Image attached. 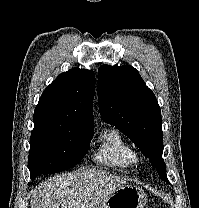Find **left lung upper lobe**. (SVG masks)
I'll return each instance as SVG.
<instances>
[{
	"instance_id": "left-lung-upper-lobe-1",
	"label": "left lung upper lobe",
	"mask_w": 199,
	"mask_h": 208,
	"mask_svg": "<svg viewBox=\"0 0 199 208\" xmlns=\"http://www.w3.org/2000/svg\"><path fill=\"white\" fill-rule=\"evenodd\" d=\"M99 110L105 122L128 136L169 183L162 159L161 110L154 93L129 65H102L98 70Z\"/></svg>"
}]
</instances>
